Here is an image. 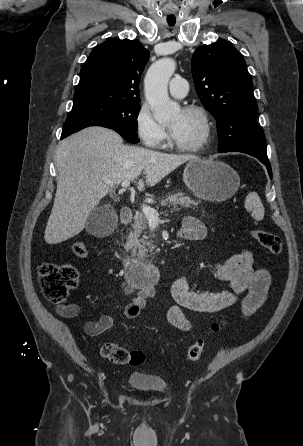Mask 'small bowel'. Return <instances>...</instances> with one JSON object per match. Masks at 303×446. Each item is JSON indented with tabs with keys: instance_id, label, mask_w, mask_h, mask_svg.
Segmentation results:
<instances>
[{
	"instance_id": "c3829d8e",
	"label": "small bowel",
	"mask_w": 303,
	"mask_h": 446,
	"mask_svg": "<svg viewBox=\"0 0 303 446\" xmlns=\"http://www.w3.org/2000/svg\"><path fill=\"white\" fill-rule=\"evenodd\" d=\"M181 236L189 241H200L206 237L207 229L197 218L187 216L182 223ZM215 277L228 284V289L220 291H198L192 288L186 275L178 277L171 286L174 299L167 311V319L175 328L182 331L192 329L185 310L200 313H215L240 303L243 316L253 314L265 301L270 285V274L266 269L255 268L253 255L248 250H241L223 261L213 263ZM125 294L130 296L125 306V315L137 318L146 303L157 296L153 285L127 287ZM241 297V295H243ZM57 312L64 318L80 316L82 308L78 304L59 305ZM114 320L103 315L97 320H89L84 330L89 336H97L112 328Z\"/></svg>"
}]
</instances>
